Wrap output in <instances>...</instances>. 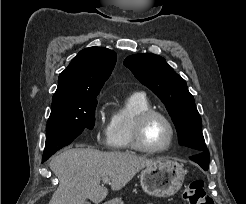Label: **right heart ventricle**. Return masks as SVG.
Masks as SVG:
<instances>
[{
    "instance_id": "obj_1",
    "label": "right heart ventricle",
    "mask_w": 246,
    "mask_h": 204,
    "mask_svg": "<svg viewBox=\"0 0 246 204\" xmlns=\"http://www.w3.org/2000/svg\"><path fill=\"white\" fill-rule=\"evenodd\" d=\"M149 109H152V105L145 94L130 95L121 107L114 109L111 113L105 133L106 146L112 150L134 149L132 129L135 119Z\"/></svg>"
}]
</instances>
